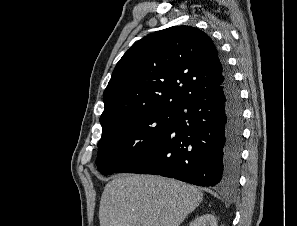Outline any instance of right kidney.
Instances as JSON below:
<instances>
[{
	"mask_svg": "<svg viewBox=\"0 0 297 226\" xmlns=\"http://www.w3.org/2000/svg\"><path fill=\"white\" fill-rule=\"evenodd\" d=\"M190 226H217V221L214 215L205 214L197 217Z\"/></svg>",
	"mask_w": 297,
	"mask_h": 226,
	"instance_id": "ca27d5eb",
	"label": "right kidney"
}]
</instances>
